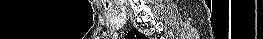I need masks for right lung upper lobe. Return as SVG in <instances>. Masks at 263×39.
I'll return each mask as SVG.
<instances>
[{
  "mask_svg": "<svg viewBox=\"0 0 263 39\" xmlns=\"http://www.w3.org/2000/svg\"><path fill=\"white\" fill-rule=\"evenodd\" d=\"M128 35H130L131 39H136V38L141 39V38H145V36H144L142 33H140L138 30H136L135 28H134V30H131V31L128 33Z\"/></svg>",
  "mask_w": 263,
  "mask_h": 39,
  "instance_id": "1",
  "label": "right lung upper lobe"
}]
</instances>
